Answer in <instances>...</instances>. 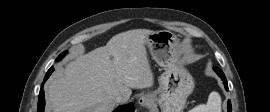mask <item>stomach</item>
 <instances>
[{
	"mask_svg": "<svg viewBox=\"0 0 270 112\" xmlns=\"http://www.w3.org/2000/svg\"><path fill=\"white\" fill-rule=\"evenodd\" d=\"M152 59L164 69L159 87L152 97L162 112H181L193 92L194 80L184 67L183 51L178 37L167 30L153 31L146 38Z\"/></svg>",
	"mask_w": 270,
	"mask_h": 112,
	"instance_id": "obj_1",
	"label": "stomach"
}]
</instances>
